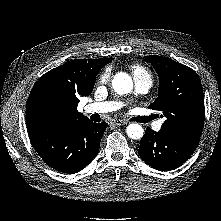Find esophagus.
<instances>
[{
    "instance_id": "34e87169",
    "label": "esophagus",
    "mask_w": 221,
    "mask_h": 221,
    "mask_svg": "<svg viewBox=\"0 0 221 221\" xmlns=\"http://www.w3.org/2000/svg\"><path fill=\"white\" fill-rule=\"evenodd\" d=\"M112 124L116 125V126H123V125L127 124V121L121 120V119H117V120H114Z\"/></svg>"
}]
</instances>
